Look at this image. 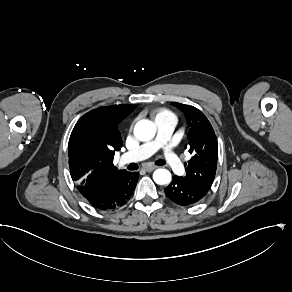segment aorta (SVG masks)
I'll list each match as a JSON object with an SVG mask.
<instances>
[{
    "instance_id": "762f6f07",
    "label": "aorta",
    "mask_w": 292,
    "mask_h": 292,
    "mask_svg": "<svg viewBox=\"0 0 292 292\" xmlns=\"http://www.w3.org/2000/svg\"><path fill=\"white\" fill-rule=\"evenodd\" d=\"M155 133V125L149 120H140L134 127V135L140 141H148L153 139ZM153 180L159 185L168 184L171 182V173L166 169H157L153 173Z\"/></svg>"
}]
</instances>
